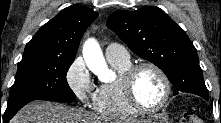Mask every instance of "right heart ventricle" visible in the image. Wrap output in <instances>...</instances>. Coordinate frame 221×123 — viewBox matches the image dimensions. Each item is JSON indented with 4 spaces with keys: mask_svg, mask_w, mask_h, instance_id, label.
Instances as JSON below:
<instances>
[{
    "mask_svg": "<svg viewBox=\"0 0 221 123\" xmlns=\"http://www.w3.org/2000/svg\"><path fill=\"white\" fill-rule=\"evenodd\" d=\"M109 62L118 73V78L112 82L101 84L96 90L95 112L109 119L134 118L138 116L139 112L127 103L120 85V77L131 66V62L130 60Z\"/></svg>",
    "mask_w": 221,
    "mask_h": 123,
    "instance_id": "obj_1",
    "label": "right heart ventricle"
}]
</instances>
